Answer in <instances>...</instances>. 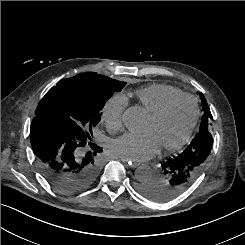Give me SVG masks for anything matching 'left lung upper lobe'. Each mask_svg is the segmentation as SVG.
Instances as JSON below:
<instances>
[{"instance_id":"left-lung-upper-lobe-1","label":"left lung upper lobe","mask_w":245,"mask_h":245,"mask_svg":"<svg viewBox=\"0 0 245 245\" xmlns=\"http://www.w3.org/2000/svg\"><path fill=\"white\" fill-rule=\"evenodd\" d=\"M200 98L202 102V108L204 111V115L202 116L200 129L197 135L202 133L210 132L211 130V120H213L212 114L210 112V109L208 107L207 101L202 93H200Z\"/></svg>"}]
</instances>
